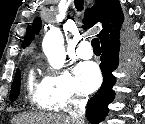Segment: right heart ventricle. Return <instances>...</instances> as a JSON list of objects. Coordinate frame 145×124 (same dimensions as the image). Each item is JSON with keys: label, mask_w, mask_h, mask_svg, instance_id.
<instances>
[{"label": "right heart ventricle", "mask_w": 145, "mask_h": 124, "mask_svg": "<svg viewBox=\"0 0 145 124\" xmlns=\"http://www.w3.org/2000/svg\"><path fill=\"white\" fill-rule=\"evenodd\" d=\"M27 97L29 102L37 108L44 110L56 109L48 100L42 83H37L32 73L29 74L27 79Z\"/></svg>", "instance_id": "right-heart-ventricle-1"}]
</instances>
